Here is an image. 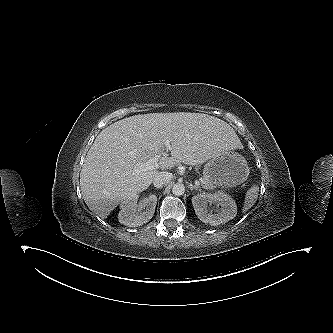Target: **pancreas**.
Masks as SVG:
<instances>
[{
	"instance_id": "cf45deb5",
	"label": "pancreas",
	"mask_w": 333,
	"mask_h": 333,
	"mask_svg": "<svg viewBox=\"0 0 333 333\" xmlns=\"http://www.w3.org/2000/svg\"><path fill=\"white\" fill-rule=\"evenodd\" d=\"M201 185L205 189H212L214 187L210 181L204 179L201 181Z\"/></svg>"
}]
</instances>
